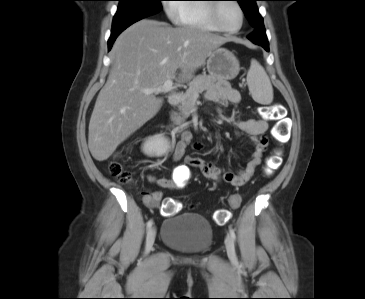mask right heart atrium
<instances>
[{"instance_id":"d8ad5b80","label":"right heart atrium","mask_w":365,"mask_h":299,"mask_svg":"<svg viewBox=\"0 0 365 299\" xmlns=\"http://www.w3.org/2000/svg\"><path fill=\"white\" fill-rule=\"evenodd\" d=\"M164 9L166 11L167 16L172 19V20H176L178 12H179V7L177 6V4H175L174 0H164Z\"/></svg>"}]
</instances>
